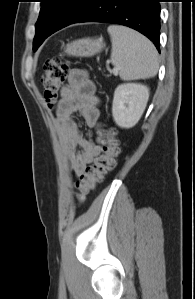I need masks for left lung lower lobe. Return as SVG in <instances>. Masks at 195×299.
<instances>
[{"label": "left lung lower lobe", "mask_w": 195, "mask_h": 299, "mask_svg": "<svg viewBox=\"0 0 195 299\" xmlns=\"http://www.w3.org/2000/svg\"><path fill=\"white\" fill-rule=\"evenodd\" d=\"M161 0H89L74 23L103 22L133 28L159 50Z\"/></svg>", "instance_id": "0a47b994"}]
</instances>
